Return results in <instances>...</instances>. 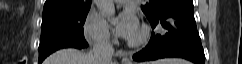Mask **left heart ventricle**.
Returning a JSON list of instances; mask_svg holds the SVG:
<instances>
[{
	"mask_svg": "<svg viewBox=\"0 0 242 64\" xmlns=\"http://www.w3.org/2000/svg\"><path fill=\"white\" fill-rule=\"evenodd\" d=\"M137 36H138V32H137V34H136L133 38H131V39H135Z\"/></svg>",
	"mask_w": 242,
	"mask_h": 64,
	"instance_id": "b2bd125f",
	"label": "left heart ventricle"
}]
</instances>
